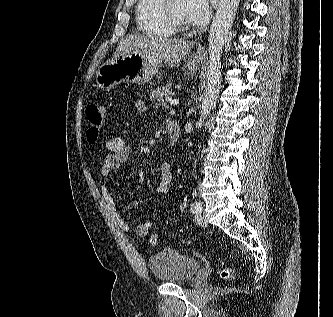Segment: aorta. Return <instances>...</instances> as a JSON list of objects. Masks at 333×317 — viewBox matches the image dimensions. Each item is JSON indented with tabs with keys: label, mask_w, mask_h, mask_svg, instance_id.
I'll list each match as a JSON object with an SVG mask.
<instances>
[{
	"label": "aorta",
	"mask_w": 333,
	"mask_h": 317,
	"mask_svg": "<svg viewBox=\"0 0 333 317\" xmlns=\"http://www.w3.org/2000/svg\"><path fill=\"white\" fill-rule=\"evenodd\" d=\"M240 0H220L219 7L209 30V62L206 72V87L203 93L200 118L196 126L201 127L215 107L221 87V52L239 7Z\"/></svg>",
	"instance_id": "762f6f07"
}]
</instances>
